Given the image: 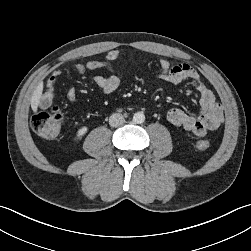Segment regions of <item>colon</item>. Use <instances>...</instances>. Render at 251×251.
Instances as JSON below:
<instances>
[{
  "instance_id": "1",
  "label": "colon",
  "mask_w": 251,
  "mask_h": 251,
  "mask_svg": "<svg viewBox=\"0 0 251 251\" xmlns=\"http://www.w3.org/2000/svg\"><path fill=\"white\" fill-rule=\"evenodd\" d=\"M62 114L58 107L53 106L50 110L39 111L33 115L31 126L33 130L44 139L56 138L62 129ZM199 150H206L210 147L207 140H200L196 143Z\"/></svg>"
}]
</instances>
